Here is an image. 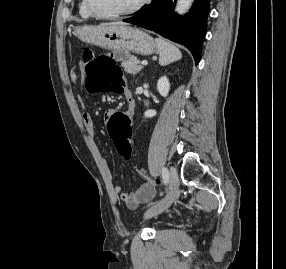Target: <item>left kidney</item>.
I'll use <instances>...</instances> for the list:
<instances>
[{
  "mask_svg": "<svg viewBox=\"0 0 286 269\" xmlns=\"http://www.w3.org/2000/svg\"><path fill=\"white\" fill-rule=\"evenodd\" d=\"M157 90L161 96L166 97L170 90V83L166 76L161 77L157 82ZM156 111L149 109L147 110L144 115L146 118H152L156 115Z\"/></svg>",
  "mask_w": 286,
  "mask_h": 269,
  "instance_id": "obj_1",
  "label": "left kidney"
}]
</instances>
